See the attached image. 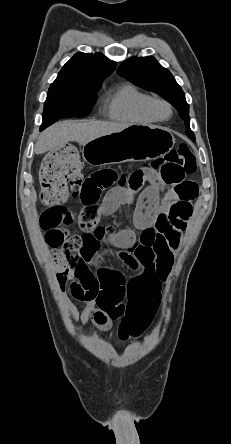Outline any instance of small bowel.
I'll use <instances>...</instances> for the list:
<instances>
[{"mask_svg": "<svg viewBox=\"0 0 231 444\" xmlns=\"http://www.w3.org/2000/svg\"><path fill=\"white\" fill-rule=\"evenodd\" d=\"M119 179V173L111 168L100 169L85 179L78 196L82 209L77 216L73 214L79 234H69L68 228L46 232L49 246H62L53 252L60 290L63 292L68 281L74 278L81 286L78 299L85 303L82 312L66 295L62 296L72 318L83 325L91 321L104 331L124 315L127 300L150 284L161 287L167 280L174 253L181 244V224L185 225L180 217L174 219L172 208L179 202L192 207L191 202L198 195L197 185L187 181L179 189H170L162 199L164 182L152 172L125 188L115 186ZM145 183L148 186L136 200ZM104 190L108 192L101 198ZM122 206H134L132 222L140 230L138 240L132 229H107L100 224L102 217ZM65 250L80 254L83 259L80 269L68 267ZM107 257H115L133 277L126 280L121 272L107 267Z\"/></svg>", "mask_w": 231, "mask_h": 444, "instance_id": "c3829d8e", "label": "small bowel"}]
</instances>
